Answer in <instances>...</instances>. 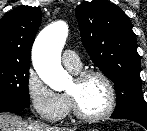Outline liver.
Returning a JSON list of instances; mask_svg holds the SVG:
<instances>
[{
    "mask_svg": "<svg viewBox=\"0 0 147 131\" xmlns=\"http://www.w3.org/2000/svg\"><path fill=\"white\" fill-rule=\"evenodd\" d=\"M77 128L51 127L41 122H27L21 117L0 113V131H76Z\"/></svg>",
    "mask_w": 147,
    "mask_h": 131,
    "instance_id": "6515ba94",
    "label": "liver"
}]
</instances>
